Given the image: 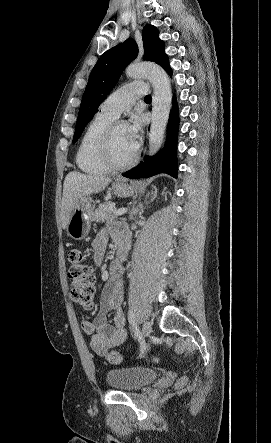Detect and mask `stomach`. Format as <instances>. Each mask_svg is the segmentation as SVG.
Returning <instances> with one entry per match:
<instances>
[{"mask_svg": "<svg viewBox=\"0 0 271 443\" xmlns=\"http://www.w3.org/2000/svg\"><path fill=\"white\" fill-rule=\"evenodd\" d=\"M113 194L118 198H129L135 192L134 184H127L122 180H117L112 184ZM92 204L90 198H79L75 208L71 212L66 231L73 239H84L88 235L91 227Z\"/></svg>", "mask_w": 271, "mask_h": 443, "instance_id": "0dacf381", "label": "stomach"}]
</instances>
